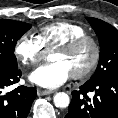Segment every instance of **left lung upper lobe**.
<instances>
[{"label":"left lung upper lobe","mask_w":118,"mask_h":118,"mask_svg":"<svg viewBox=\"0 0 118 118\" xmlns=\"http://www.w3.org/2000/svg\"><path fill=\"white\" fill-rule=\"evenodd\" d=\"M88 22L99 37L100 59L89 83H96L104 79L118 76V31L110 24L87 17Z\"/></svg>","instance_id":"5c2ea615"}]
</instances>
